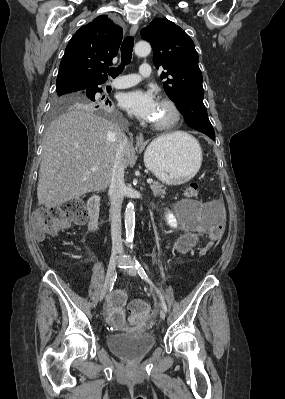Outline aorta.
Masks as SVG:
<instances>
[{
    "label": "aorta",
    "mask_w": 285,
    "mask_h": 399,
    "mask_svg": "<svg viewBox=\"0 0 285 399\" xmlns=\"http://www.w3.org/2000/svg\"><path fill=\"white\" fill-rule=\"evenodd\" d=\"M135 54L137 56L143 57L147 56L151 52V46L148 42L139 41L134 47ZM125 231H126V241L131 244L134 237L135 229V208L132 202H129L125 209Z\"/></svg>",
    "instance_id": "762f6f07"
}]
</instances>
